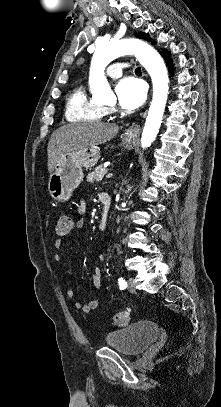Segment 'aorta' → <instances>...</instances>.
I'll use <instances>...</instances> for the list:
<instances>
[{"mask_svg":"<svg viewBox=\"0 0 221 407\" xmlns=\"http://www.w3.org/2000/svg\"><path fill=\"white\" fill-rule=\"evenodd\" d=\"M134 54L148 71L153 83V99L148 111L141 136V146L149 147L155 140L168 97V74L163 59L149 44L138 39L111 40L96 45L89 74V86L93 98L105 101L112 96V90L105 77L106 66L114 59Z\"/></svg>","mask_w":221,"mask_h":407,"instance_id":"762f6f07","label":"aorta"}]
</instances>
